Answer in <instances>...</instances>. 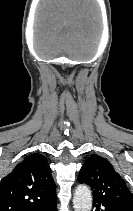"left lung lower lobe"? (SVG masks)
I'll return each instance as SVG.
<instances>
[{
    "label": "left lung lower lobe",
    "mask_w": 133,
    "mask_h": 211,
    "mask_svg": "<svg viewBox=\"0 0 133 211\" xmlns=\"http://www.w3.org/2000/svg\"><path fill=\"white\" fill-rule=\"evenodd\" d=\"M93 206L96 208V211H99V210L100 211H117L115 209L105 208L100 203H96V202L93 203Z\"/></svg>",
    "instance_id": "left-lung-lower-lobe-1"
}]
</instances>
